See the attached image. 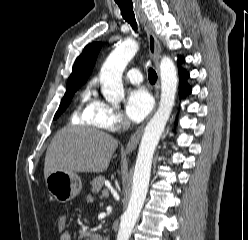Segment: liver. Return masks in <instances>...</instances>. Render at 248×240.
Instances as JSON below:
<instances>
[{"mask_svg":"<svg viewBox=\"0 0 248 240\" xmlns=\"http://www.w3.org/2000/svg\"><path fill=\"white\" fill-rule=\"evenodd\" d=\"M118 141L97 129L67 126L58 131L45 155V179L53 172L101 173L110 163Z\"/></svg>","mask_w":248,"mask_h":240,"instance_id":"liver-1","label":"liver"}]
</instances>
